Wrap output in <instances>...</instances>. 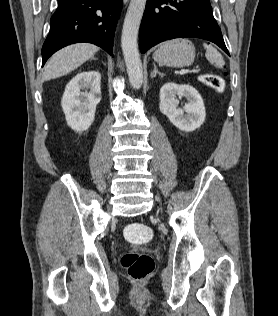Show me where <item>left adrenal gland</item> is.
Segmentation results:
<instances>
[{
	"label": "left adrenal gland",
	"mask_w": 278,
	"mask_h": 316,
	"mask_svg": "<svg viewBox=\"0 0 278 316\" xmlns=\"http://www.w3.org/2000/svg\"><path fill=\"white\" fill-rule=\"evenodd\" d=\"M153 66L154 70L151 72V78H154L156 75H159L160 77H163L165 75L164 73L158 71L155 63H153Z\"/></svg>",
	"instance_id": "obj_1"
}]
</instances>
